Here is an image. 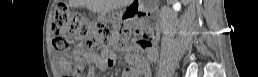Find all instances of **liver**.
Here are the masks:
<instances>
[{"label": "liver", "instance_id": "1", "mask_svg": "<svg viewBox=\"0 0 258 77\" xmlns=\"http://www.w3.org/2000/svg\"><path fill=\"white\" fill-rule=\"evenodd\" d=\"M133 0H73V4L86 7L93 13H102L130 4Z\"/></svg>", "mask_w": 258, "mask_h": 77}]
</instances>
